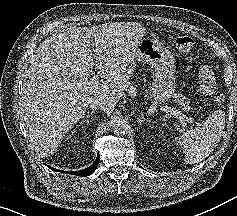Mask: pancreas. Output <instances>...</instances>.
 <instances>
[{
  "label": "pancreas",
  "instance_id": "cf45deb5",
  "mask_svg": "<svg viewBox=\"0 0 237 216\" xmlns=\"http://www.w3.org/2000/svg\"><path fill=\"white\" fill-rule=\"evenodd\" d=\"M177 100L180 101V102L182 101V95H181V94H179V95L177 96Z\"/></svg>",
  "mask_w": 237,
  "mask_h": 216
}]
</instances>
